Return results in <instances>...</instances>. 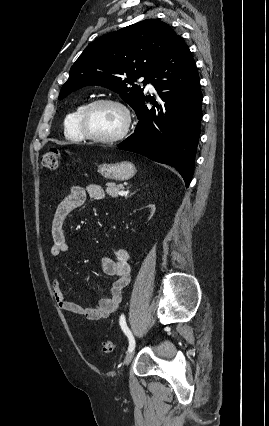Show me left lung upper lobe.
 <instances>
[{
    "mask_svg": "<svg viewBox=\"0 0 269 426\" xmlns=\"http://www.w3.org/2000/svg\"><path fill=\"white\" fill-rule=\"evenodd\" d=\"M178 37L168 24L157 19L101 36L76 60L59 99L84 86L99 85L117 92L135 109L145 97L134 82L144 77V85L148 83L154 67Z\"/></svg>",
    "mask_w": 269,
    "mask_h": 426,
    "instance_id": "obj_1",
    "label": "left lung upper lobe"
}]
</instances>
